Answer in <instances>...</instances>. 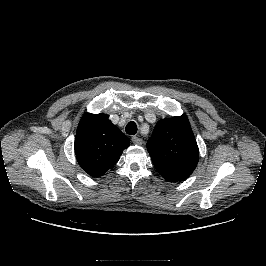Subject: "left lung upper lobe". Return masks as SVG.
I'll return each mask as SVG.
<instances>
[{"label":"left lung upper lobe","mask_w":266,"mask_h":266,"mask_svg":"<svg viewBox=\"0 0 266 266\" xmlns=\"http://www.w3.org/2000/svg\"><path fill=\"white\" fill-rule=\"evenodd\" d=\"M156 170L169 181H183L197 166L199 148L186 115L161 119L147 141Z\"/></svg>","instance_id":"1"}]
</instances>
